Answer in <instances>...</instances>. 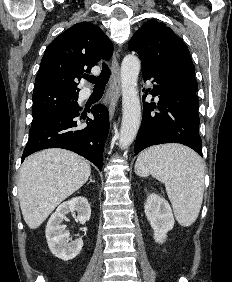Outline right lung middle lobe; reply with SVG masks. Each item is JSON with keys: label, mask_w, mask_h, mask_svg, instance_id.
Segmentation results:
<instances>
[{"label": "right lung middle lobe", "mask_w": 232, "mask_h": 282, "mask_svg": "<svg viewBox=\"0 0 232 282\" xmlns=\"http://www.w3.org/2000/svg\"><path fill=\"white\" fill-rule=\"evenodd\" d=\"M78 93L61 90L33 91L32 125L39 124L60 111L78 108Z\"/></svg>", "instance_id": "right-lung-middle-lobe-1"}]
</instances>
